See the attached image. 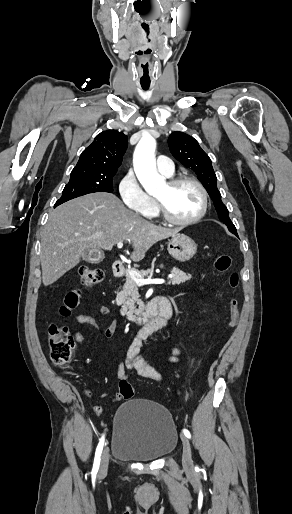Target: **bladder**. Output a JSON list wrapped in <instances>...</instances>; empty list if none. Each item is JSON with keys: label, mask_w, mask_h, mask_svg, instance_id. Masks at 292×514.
Wrapping results in <instances>:
<instances>
[{"label": "bladder", "mask_w": 292, "mask_h": 514, "mask_svg": "<svg viewBox=\"0 0 292 514\" xmlns=\"http://www.w3.org/2000/svg\"><path fill=\"white\" fill-rule=\"evenodd\" d=\"M178 432L170 412L147 399L122 403L114 416L112 454L122 461L151 462L174 450Z\"/></svg>", "instance_id": "1"}]
</instances>
